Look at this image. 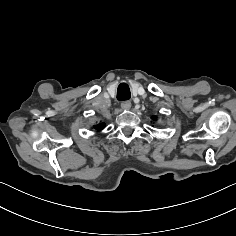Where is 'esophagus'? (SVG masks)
<instances>
[{
    "instance_id": "1",
    "label": "esophagus",
    "mask_w": 236,
    "mask_h": 236,
    "mask_svg": "<svg viewBox=\"0 0 236 236\" xmlns=\"http://www.w3.org/2000/svg\"><path fill=\"white\" fill-rule=\"evenodd\" d=\"M121 107L124 110H129L131 108V102L130 101H123L121 103Z\"/></svg>"
}]
</instances>
